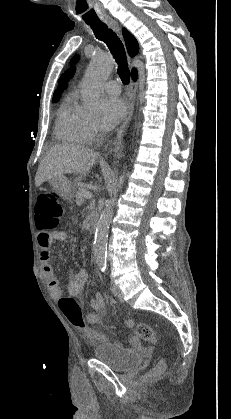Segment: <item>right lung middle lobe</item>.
<instances>
[{
  "label": "right lung middle lobe",
  "instance_id": "dd1d6c3e",
  "mask_svg": "<svg viewBox=\"0 0 231 419\" xmlns=\"http://www.w3.org/2000/svg\"><path fill=\"white\" fill-rule=\"evenodd\" d=\"M58 99H59V98H53V99H52V101H53V102H56V101H58Z\"/></svg>",
  "mask_w": 231,
  "mask_h": 419
}]
</instances>
